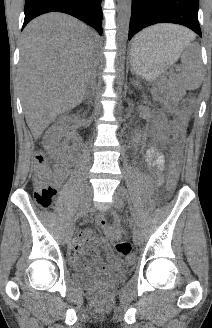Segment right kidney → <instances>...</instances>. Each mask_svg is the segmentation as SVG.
<instances>
[{"label":"right kidney","mask_w":212,"mask_h":328,"mask_svg":"<svg viewBox=\"0 0 212 328\" xmlns=\"http://www.w3.org/2000/svg\"><path fill=\"white\" fill-rule=\"evenodd\" d=\"M73 119H75V116L72 115V116H63L61 118H59L55 123L54 125L52 126V131L54 133V141L55 142H59L63 136V127L65 125V123L67 121H72Z\"/></svg>","instance_id":"1"}]
</instances>
